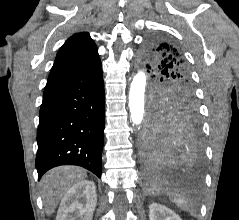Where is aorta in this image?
Instances as JSON below:
<instances>
[{
	"instance_id": "762f6f07",
	"label": "aorta",
	"mask_w": 239,
	"mask_h": 220,
	"mask_svg": "<svg viewBox=\"0 0 239 220\" xmlns=\"http://www.w3.org/2000/svg\"><path fill=\"white\" fill-rule=\"evenodd\" d=\"M146 85L147 76L144 69L140 67L132 80L129 92L130 118L134 125H140L144 119Z\"/></svg>"
}]
</instances>
